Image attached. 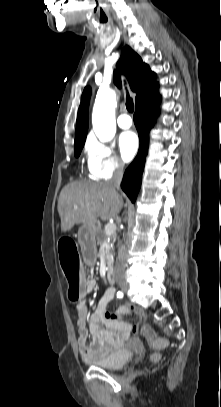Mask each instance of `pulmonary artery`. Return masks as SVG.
<instances>
[{
  "mask_svg": "<svg viewBox=\"0 0 221 407\" xmlns=\"http://www.w3.org/2000/svg\"><path fill=\"white\" fill-rule=\"evenodd\" d=\"M117 124L122 129H128L132 126L133 122L127 113H122L117 119Z\"/></svg>",
  "mask_w": 221,
  "mask_h": 407,
  "instance_id": "obj_1",
  "label": "pulmonary artery"
}]
</instances>
